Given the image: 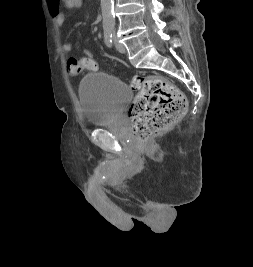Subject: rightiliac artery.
Returning <instances> with one entry per match:
<instances>
[{
    "instance_id": "right-iliac-artery-1",
    "label": "right iliac artery",
    "mask_w": 253,
    "mask_h": 267,
    "mask_svg": "<svg viewBox=\"0 0 253 267\" xmlns=\"http://www.w3.org/2000/svg\"><path fill=\"white\" fill-rule=\"evenodd\" d=\"M104 39L106 45L111 48L113 43V31L111 29H104Z\"/></svg>"
}]
</instances>
